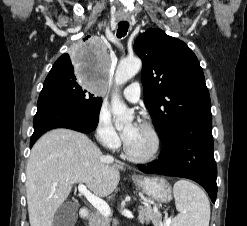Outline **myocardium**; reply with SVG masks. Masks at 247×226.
Wrapping results in <instances>:
<instances>
[{
	"label": "myocardium",
	"instance_id": "myocardium-1",
	"mask_svg": "<svg viewBox=\"0 0 247 226\" xmlns=\"http://www.w3.org/2000/svg\"><path fill=\"white\" fill-rule=\"evenodd\" d=\"M141 126L146 128L154 138L153 151L147 156H136L130 151L126 141H124L123 150H124L125 156L129 160L136 162V163L146 164V163H151V162L155 161L159 157L160 152H161V148H162V139H161V136H160L158 130L156 129V127L152 123L144 121L141 123Z\"/></svg>",
	"mask_w": 247,
	"mask_h": 226
}]
</instances>
